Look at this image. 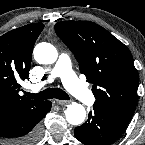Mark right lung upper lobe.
Wrapping results in <instances>:
<instances>
[{"instance_id": "cb5924a9", "label": "right lung upper lobe", "mask_w": 145, "mask_h": 145, "mask_svg": "<svg viewBox=\"0 0 145 145\" xmlns=\"http://www.w3.org/2000/svg\"><path fill=\"white\" fill-rule=\"evenodd\" d=\"M43 28L32 23L0 37V117L41 102L20 96L19 82L29 76L33 46Z\"/></svg>"}]
</instances>
